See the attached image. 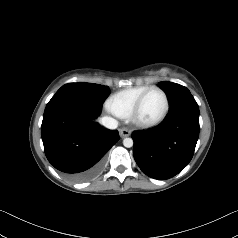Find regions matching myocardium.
<instances>
[{
    "instance_id": "obj_1",
    "label": "myocardium",
    "mask_w": 238,
    "mask_h": 238,
    "mask_svg": "<svg viewBox=\"0 0 238 238\" xmlns=\"http://www.w3.org/2000/svg\"><path fill=\"white\" fill-rule=\"evenodd\" d=\"M152 91H159L162 93V95L164 96V99H165V107H164L162 114L157 119H155L153 121H142L139 119V112H140L141 106H142L145 98ZM169 108H170V101H169V97H168V94L166 93V91L159 86H152V87H149L146 91H144L139 96V98L135 102V104L130 112L129 118L132 121V123H134L138 127L152 128V127H155L158 124H160L166 118V116L169 112Z\"/></svg>"
}]
</instances>
